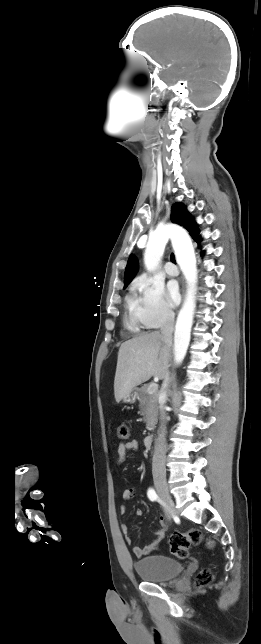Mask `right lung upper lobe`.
Wrapping results in <instances>:
<instances>
[{
  "label": "right lung upper lobe",
  "instance_id": "right-lung-upper-lobe-1",
  "mask_svg": "<svg viewBox=\"0 0 261 644\" xmlns=\"http://www.w3.org/2000/svg\"><path fill=\"white\" fill-rule=\"evenodd\" d=\"M171 221L186 228L192 238L199 244L200 236L197 225L181 203L173 204L171 209ZM137 271V259L133 255H130L124 275V287H127Z\"/></svg>",
  "mask_w": 261,
  "mask_h": 644
}]
</instances>
